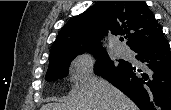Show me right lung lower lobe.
Segmentation results:
<instances>
[{
  "mask_svg": "<svg viewBox=\"0 0 171 110\" xmlns=\"http://www.w3.org/2000/svg\"><path fill=\"white\" fill-rule=\"evenodd\" d=\"M132 50L142 66L126 62L105 78L141 110H171V51L164 34Z\"/></svg>",
  "mask_w": 171,
  "mask_h": 110,
  "instance_id": "1",
  "label": "right lung lower lobe"
}]
</instances>
